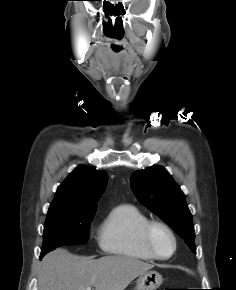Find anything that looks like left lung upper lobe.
Returning <instances> with one entry per match:
<instances>
[{
	"label": "left lung upper lobe",
	"mask_w": 236,
	"mask_h": 290,
	"mask_svg": "<svg viewBox=\"0 0 236 290\" xmlns=\"http://www.w3.org/2000/svg\"><path fill=\"white\" fill-rule=\"evenodd\" d=\"M131 186L138 200L165 221L192 252H196L192 215L184 194L169 173L161 166L135 171Z\"/></svg>",
	"instance_id": "1"
}]
</instances>
